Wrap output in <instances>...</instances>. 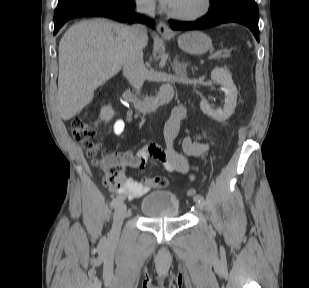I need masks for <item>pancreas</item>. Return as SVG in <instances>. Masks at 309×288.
Returning a JSON list of instances; mask_svg holds the SVG:
<instances>
[{
	"label": "pancreas",
	"instance_id": "obj_1",
	"mask_svg": "<svg viewBox=\"0 0 309 288\" xmlns=\"http://www.w3.org/2000/svg\"><path fill=\"white\" fill-rule=\"evenodd\" d=\"M220 57H222V58H228V57H229V54H224V55H222V56H220Z\"/></svg>",
	"mask_w": 309,
	"mask_h": 288
}]
</instances>
